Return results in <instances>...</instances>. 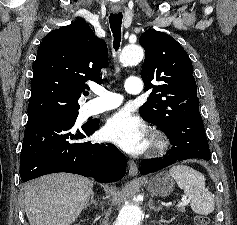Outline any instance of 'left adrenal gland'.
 <instances>
[{
	"instance_id": "left-adrenal-gland-1",
	"label": "left adrenal gland",
	"mask_w": 237,
	"mask_h": 225,
	"mask_svg": "<svg viewBox=\"0 0 237 225\" xmlns=\"http://www.w3.org/2000/svg\"><path fill=\"white\" fill-rule=\"evenodd\" d=\"M149 208L151 210H154L155 212H159L162 209L161 206H158V207L154 206L152 198H150V200H149Z\"/></svg>"
}]
</instances>
